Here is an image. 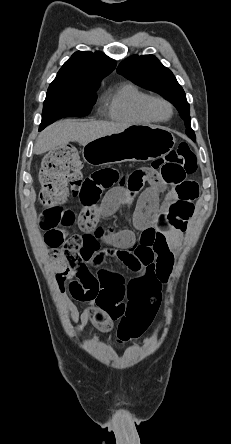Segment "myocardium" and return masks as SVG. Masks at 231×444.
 <instances>
[{
    "mask_svg": "<svg viewBox=\"0 0 231 444\" xmlns=\"http://www.w3.org/2000/svg\"><path fill=\"white\" fill-rule=\"evenodd\" d=\"M158 102L164 103L168 107L169 115L167 117L162 118L156 113L154 105ZM144 109L151 118L159 122H166L170 120L174 114V106L172 102L163 96H150L145 103Z\"/></svg>",
    "mask_w": 231,
    "mask_h": 444,
    "instance_id": "myocardium-1",
    "label": "myocardium"
}]
</instances>
